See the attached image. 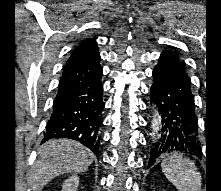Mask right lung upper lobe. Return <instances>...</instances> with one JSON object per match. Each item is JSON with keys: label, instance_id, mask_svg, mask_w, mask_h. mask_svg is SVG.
Returning <instances> with one entry per match:
<instances>
[{"label": "right lung upper lobe", "instance_id": "right-lung-upper-lobe-1", "mask_svg": "<svg viewBox=\"0 0 221 191\" xmlns=\"http://www.w3.org/2000/svg\"><path fill=\"white\" fill-rule=\"evenodd\" d=\"M99 53L97 44L94 39H87L85 42L81 43L75 48L68 62L76 60L77 58L90 56Z\"/></svg>", "mask_w": 221, "mask_h": 191}]
</instances>
